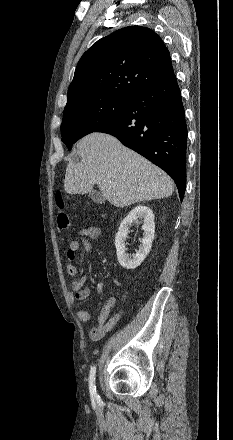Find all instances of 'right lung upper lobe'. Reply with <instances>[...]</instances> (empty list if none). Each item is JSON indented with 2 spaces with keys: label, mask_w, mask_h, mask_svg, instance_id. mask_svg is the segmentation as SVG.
Returning <instances> with one entry per match:
<instances>
[{
  "label": "right lung upper lobe",
  "mask_w": 233,
  "mask_h": 440,
  "mask_svg": "<svg viewBox=\"0 0 233 440\" xmlns=\"http://www.w3.org/2000/svg\"><path fill=\"white\" fill-rule=\"evenodd\" d=\"M173 74L170 53L155 32L140 26L125 27L83 54L66 106L97 97L130 99Z\"/></svg>",
  "instance_id": "right-lung-upper-lobe-1"
}]
</instances>
